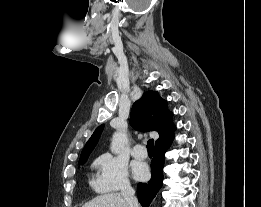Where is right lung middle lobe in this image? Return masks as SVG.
<instances>
[{
  "instance_id": "1",
  "label": "right lung middle lobe",
  "mask_w": 261,
  "mask_h": 207,
  "mask_svg": "<svg viewBox=\"0 0 261 207\" xmlns=\"http://www.w3.org/2000/svg\"><path fill=\"white\" fill-rule=\"evenodd\" d=\"M87 159H88V157L83 158V159H80V160H79V165L84 164V163L87 161Z\"/></svg>"
}]
</instances>
